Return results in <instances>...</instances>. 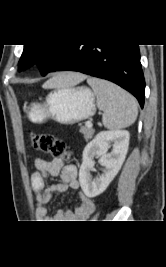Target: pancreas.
I'll use <instances>...</instances> for the list:
<instances>
[{"label": "pancreas", "mask_w": 166, "mask_h": 267, "mask_svg": "<svg viewBox=\"0 0 166 267\" xmlns=\"http://www.w3.org/2000/svg\"><path fill=\"white\" fill-rule=\"evenodd\" d=\"M80 132L83 134L84 139L86 141H88L89 139L92 138L93 134H94V130L92 128H88V127H81L80 128Z\"/></svg>", "instance_id": "obj_1"}]
</instances>
